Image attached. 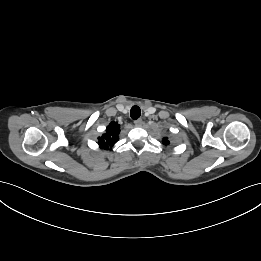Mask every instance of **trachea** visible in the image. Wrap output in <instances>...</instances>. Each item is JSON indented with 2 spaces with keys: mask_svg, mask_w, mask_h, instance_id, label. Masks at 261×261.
<instances>
[{
  "mask_svg": "<svg viewBox=\"0 0 261 261\" xmlns=\"http://www.w3.org/2000/svg\"><path fill=\"white\" fill-rule=\"evenodd\" d=\"M141 115V110L140 108L137 106V105H134L132 108H131V111H130V116L133 120H137Z\"/></svg>",
  "mask_w": 261,
  "mask_h": 261,
  "instance_id": "3493384b",
  "label": "trachea"
}]
</instances>
